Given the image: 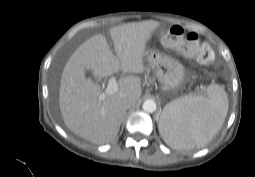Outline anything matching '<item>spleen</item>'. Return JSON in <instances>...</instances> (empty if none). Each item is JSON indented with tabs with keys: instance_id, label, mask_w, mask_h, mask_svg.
<instances>
[{
	"instance_id": "obj_1",
	"label": "spleen",
	"mask_w": 255,
	"mask_h": 177,
	"mask_svg": "<svg viewBox=\"0 0 255 177\" xmlns=\"http://www.w3.org/2000/svg\"><path fill=\"white\" fill-rule=\"evenodd\" d=\"M228 112V98L218 85L206 95H186L163 110L159 131L163 140L177 150L203 147L222 127Z\"/></svg>"
}]
</instances>
